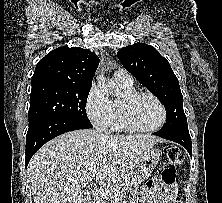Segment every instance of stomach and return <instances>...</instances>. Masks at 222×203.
<instances>
[{"label":"stomach","mask_w":222,"mask_h":203,"mask_svg":"<svg viewBox=\"0 0 222 203\" xmlns=\"http://www.w3.org/2000/svg\"><path fill=\"white\" fill-rule=\"evenodd\" d=\"M160 158V150L151 148L146 151L143 160L134 168L132 182L138 184L148 178Z\"/></svg>","instance_id":"stomach-1"}]
</instances>
